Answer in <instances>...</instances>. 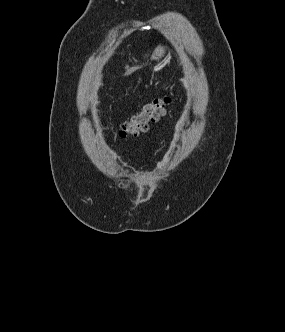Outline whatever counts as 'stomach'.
<instances>
[{"instance_id": "1", "label": "stomach", "mask_w": 285, "mask_h": 332, "mask_svg": "<svg viewBox=\"0 0 285 332\" xmlns=\"http://www.w3.org/2000/svg\"><path fill=\"white\" fill-rule=\"evenodd\" d=\"M165 53H166V48L163 47V46H158L155 49V52H154V55H153V59L159 60V59H161L164 56Z\"/></svg>"}]
</instances>
